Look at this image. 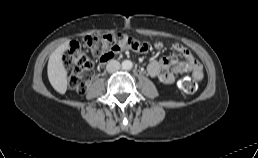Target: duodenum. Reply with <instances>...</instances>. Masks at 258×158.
Returning <instances> with one entry per match:
<instances>
[{"label":"duodenum","mask_w":258,"mask_h":158,"mask_svg":"<svg viewBox=\"0 0 258 158\" xmlns=\"http://www.w3.org/2000/svg\"><path fill=\"white\" fill-rule=\"evenodd\" d=\"M110 59H107V60H105V62H103V63H106V62H108Z\"/></svg>","instance_id":"410a0bca"}]
</instances>
